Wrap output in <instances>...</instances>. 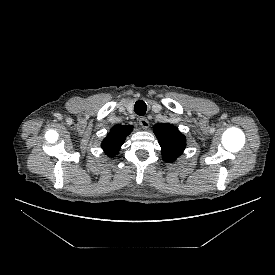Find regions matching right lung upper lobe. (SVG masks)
I'll list each match as a JSON object with an SVG mask.
<instances>
[{
    "label": "right lung upper lobe",
    "mask_w": 275,
    "mask_h": 275,
    "mask_svg": "<svg viewBox=\"0 0 275 275\" xmlns=\"http://www.w3.org/2000/svg\"><path fill=\"white\" fill-rule=\"evenodd\" d=\"M133 126L128 125H115L112 127L110 133L103 140L101 146L105 153L113 157L120 151L122 144L126 137L131 133Z\"/></svg>",
    "instance_id": "1"
}]
</instances>
